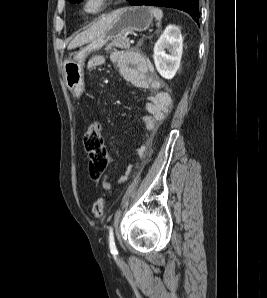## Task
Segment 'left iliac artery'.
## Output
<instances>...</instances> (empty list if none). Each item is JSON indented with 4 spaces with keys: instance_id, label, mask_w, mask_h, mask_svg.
<instances>
[{
    "instance_id": "1",
    "label": "left iliac artery",
    "mask_w": 267,
    "mask_h": 298,
    "mask_svg": "<svg viewBox=\"0 0 267 298\" xmlns=\"http://www.w3.org/2000/svg\"><path fill=\"white\" fill-rule=\"evenodd\" d=\"M109 247L112 254L114 255L118 254L115 241H114V232L112 227H109Z\"/></svg>"
}]
</instances>
